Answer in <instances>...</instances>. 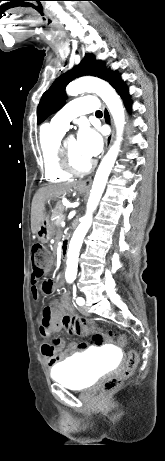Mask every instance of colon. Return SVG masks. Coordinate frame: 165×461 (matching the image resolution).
Returning <instances> with one entry per match:
<instances>
[{
    "mask_svg": "<svg viewBox=\"0 0 165 461\" xmlns=\"http://www.w3.org/2000/svg\"><path fill=\"white\" fill-rule=\"evenodd\" d=\"M50 267V258L47 248L40 243L33 245L32 247V278L39 280L42 278L44 272ZM94 332H98V329H94ZM106 334L109 337H113L114 334L111 331H107ZM117 342L124 346L127 343L125 335H119L116 338ZM85 352V351H84ZM83 352V353H84ZM138 365V354L135 350H130L128 353V359L122 372L114 377L106 379L102 384V392L109 394L118 389L122 382L130 377L135 371Z\"/></svg>",
    "mask_w": 165,
    "mask_h": 461,
    "instance_id": "1",
    "label": "colon"
}]
</instances>
